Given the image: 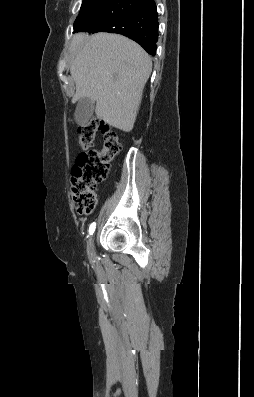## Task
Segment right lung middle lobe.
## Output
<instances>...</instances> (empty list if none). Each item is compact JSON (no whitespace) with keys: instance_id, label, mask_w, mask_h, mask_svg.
<instances>
[{"instance_id":"1","label":"right lung middle lobe","mask_w":254,"mask_h":397,"mask_svg":"<svg viewBox=\"0 0 254 397\" xmlns=\"http://www.w3.org/2000/svg\"><path fill=\"white\" fill-rule=\"evenodd\" d=\"M107 0H83L80 13L74 22V30L94 16Z\"/></svg>"}]
</instances>
